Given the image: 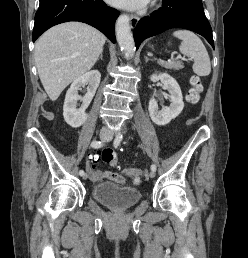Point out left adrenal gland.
Here are the masks:
<instances>
[{"label": "left adrenal gland", "instance_id": "1", "mask_svg": "<svg viewBox=\"0 0 248 258\" xmlns=\"http://www.w3.org/2000/svg\"><path fill=\"white\" fill-rule=\"evenodd\" d=\"M149 60L150 59L147 56H145V62L147 63Z\"/></svg>", "mask_w": 248, "mask_h": 258}]
</instances>
